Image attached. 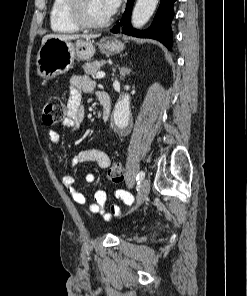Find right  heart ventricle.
Listing matches in <instances>:
<instances>
[{"label": "right heart ventricle", "instance_id": "e07e8e85", "mask_svg": "<svg viewBox=\"0 0 247 296\" xmlns=\"http://www.w3.org/2000/svg\"><path fill=\"white\" fill-rule=\"evenodd\" d=\"M70 0H53L50 10V27L61 34L76 33L80 28L69 17Z\"/></svg>", "mask_w": 247, "mask_h": 296}]
</instances>
